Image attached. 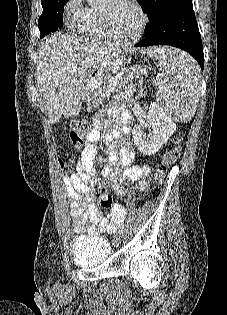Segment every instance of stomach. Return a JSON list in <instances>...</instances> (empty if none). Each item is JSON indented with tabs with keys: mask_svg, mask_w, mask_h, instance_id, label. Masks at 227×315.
Masks as SVG:
<instances>
[{
	"mask_svg": "<svg viewBox=\"0 0 227 315\" xmlns=\"http://www.w3.org/2000/svg\"><path fill=\"white\" fill-rule=\"evenodd\" d=\"M121 60L122 57L119 54H114L111 56L110 65L107 68H96L95 71H91V80L85 86L82 95L83 99H89V91H97L99 89L96 82H116V73Z\"/></svg>",
	"mask_w": 227,
	"mask_h": 315,
	"instance_id": "1",
	"label": "stomach"
}]
</instances>
